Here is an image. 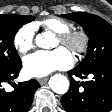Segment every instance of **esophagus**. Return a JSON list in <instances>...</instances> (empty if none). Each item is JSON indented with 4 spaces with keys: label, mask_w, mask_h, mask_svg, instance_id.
<instances>
[{
    "label": "esophagus",
    "mask_w": 112,
    "mask_h": 112,
    "mask_svg": "<svg viewBox=\"0 0 112 112\" xmlns=\"http://www.w3.org/2000/svg\"><path fill=\"white\" fill-rule=\"evenodd\" d=\"M47 81H48V78H47V77L38 79V82H39L41 85H44L45 83H47Z\"/></svg>",
    "instance_id": "34e87169"
}]
</instances>
